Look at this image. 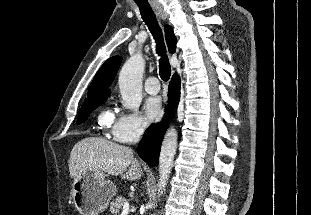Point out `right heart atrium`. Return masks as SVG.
I'll list each match as a JSON object with an SVG mask.
<instances>
[{
	"instance_id": "right-heart-atrium-1",
	"label": "right heart atrium",
	"mask_w": 311,
	"mask_h": 215,
	"mask_svg": "<svg viewBox=\"0 0 311 215\" xmlns=\"http://www.w3.org/2000/svg\"><path fill=\"white\" fill-rule=\"evenodd\" d=\"M100 122L109 128V135L113 140L123 144L138 140L145 131L141 118L134 113L110 114L103 117Z\"/></svg>"
}]
</instances>
